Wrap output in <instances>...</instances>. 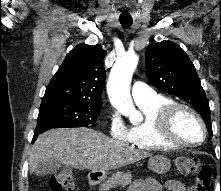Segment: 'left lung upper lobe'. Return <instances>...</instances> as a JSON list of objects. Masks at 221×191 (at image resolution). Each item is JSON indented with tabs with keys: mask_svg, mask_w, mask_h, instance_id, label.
Segmentation results:
<instances>
[{
	"mask_svg": "<svg viewBox=\"0 0 221 191\" xmlns=\"http://www.w3.org/2000/svg\"><path fill=\"white\" fill-rule=\"evenodd\" d=\"M145 65L149 81L156 88L193 105L212 135L209 102L195 67L184 50L170 41L149 45L145 53Z\"/></svg>",
	"mask_w": 221,
	"mask_h": 191,
	"instance_id": "left-lung-upper-lobe-1",
	"label": "left lung upper lobe"
}]
</instances>
